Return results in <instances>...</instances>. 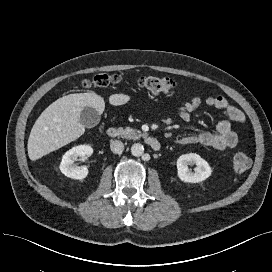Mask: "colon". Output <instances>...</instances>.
<instances>
[{
    "instance_id": "obj_1",
    "label": "colon",
    "mask_w": 272,
    "mask_h": 272,
    "mask_svg": "<svg viewBox=\"0 0 272 272\" xmlns=\"http://www.w3.org/2000/svg\"><path fill=\"white\" fill-rule=\"evenodd\" d=\"M121 81L118 75L99 74L92 79H86L82 82V87L100 88L104 89L110 86H114ZM137 85L152 94H168L177 88V82L170 77L159 76H144L137 80ZM251 166L250 157L243 153L238 152L233 157V168L237 173H243Z\"/></svg>"
}]
</instances>
